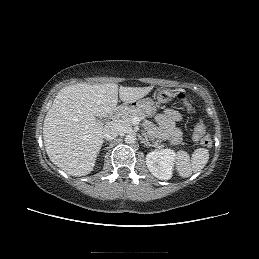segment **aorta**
<instances>
[{
    "mask_svg": "<svg viewBox=\"0 0 259 259\" xmlns=\"http://www.w3.org/2000/svg\"><path fill=\"white\" fill-rule=\"evenodd\" d=\"M135 136H134V134H127L126 136H125V142L127 143V144H132V143H134L135 142Z\"/></svg>",
    "mask_w": 259,
    "mask_h": 259,
    "instance_id": "obj_1",
    "label": "aorta"
}]
</instances>
